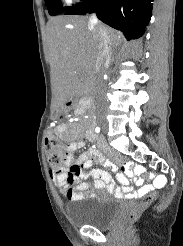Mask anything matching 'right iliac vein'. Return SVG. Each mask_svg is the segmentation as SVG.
<instances>
[{
    "label": "right iliac vein",
    "instance_id": "1",
    "mask_svg": "<svg viewBox=\"0 0 183 246\" xmlns=\"http://www.w3.org/2000/svg\"><path fill=\"white\" fill-rule=\"evenodd\" d=\"M102 128H103L104 130H106V129H107V125H106V124H102Z\"/></svg>",
    "mask_w": 183,
    "mask_h": 246
}]
</instances>
